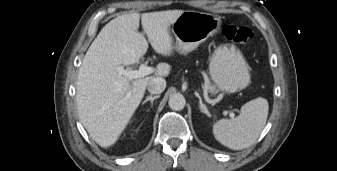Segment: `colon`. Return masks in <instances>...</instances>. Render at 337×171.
<instances>
[{
  "mask_svg": "<svg viewBox=\"0 0 337 171\" xmlns=\"http://www.w3.org/2000/svg\"><path fill=\"white\" fill-rule=\"evenodd\" d=\"M221 36L235 43L246 44L251 40L253 34L247 27L227 25L223 28Z\"/></svg>",
  "mask_w": 337,
  "mask_h": 171,
  "instance_id": "obj_1",
  "label": "colon"
}]
</instances>
